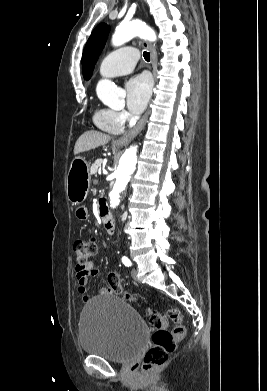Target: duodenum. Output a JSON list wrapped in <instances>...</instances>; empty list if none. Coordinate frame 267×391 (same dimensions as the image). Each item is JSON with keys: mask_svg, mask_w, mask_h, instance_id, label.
<instances>
[{"mask_svg": "<svg viewBox=\"0 0 267 391\" xmlns=\"http://www.w3.org/2000/svg\"><path fill=\"white\" fill-rule=\"evenodd\" d=\"M100 213L102 216V223H103L105 230L108 233H113L114 229H115V223H114L113 219L107 215V209H106L104 203L100 204Z\"/></svg>", "mask_w": 267, "mask_h": 391, "instance_id": "duodenum-1", "label": "duodenum"}]
</instances>
